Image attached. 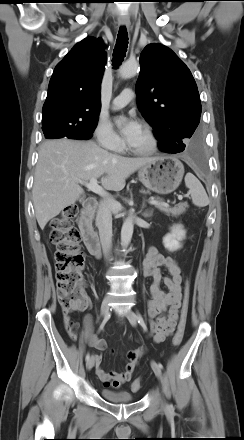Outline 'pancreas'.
I'll return each mask as SVG.
<instances>
[{"label":"pancreas","mask_w":244,"mask_h":440,"mask_svg":"<svg viewBox=\"0 0 244 440\" xmlns=\"http://www.w3.org/2000/svg\"><path fill=\"white\" fill-rule=\"evenodd\" d=\"M156 200H157V201H161V199L158 198V197L156 198ZM156 207H157L160 211L166 213L168 216H169V215H172V216H174V217H177V216L183 214V213L186 211V208H188L189 206H188V203H187V202H183V203H179V204H177L175 207H172V208H170V207H166V206H163V205H161V204L156 205Z\"/></svg>","instance_id":"obj_1"}]
</instances>
